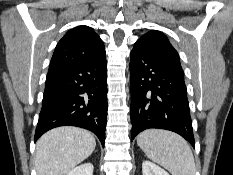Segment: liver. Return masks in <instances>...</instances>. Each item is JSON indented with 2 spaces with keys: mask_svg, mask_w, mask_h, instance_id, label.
Here are the masks:
<instances>
[{
  "mask_svg": "<svg viewBox=\"0 0 233 175\" xmlns=\"http://www.w3.org/2000/svg\"><path fill=\"white\" fill-rule=\"evenodd\" d=\"M96 141L87 130L73 126L54 128L36 145L37 175H66L94 151Z\"/></svg>",
  "mask_w": 233,
  "mask_h": 175,
  "instance_id": "6515ba94",
  "label": "liver"
}]
</instances>
